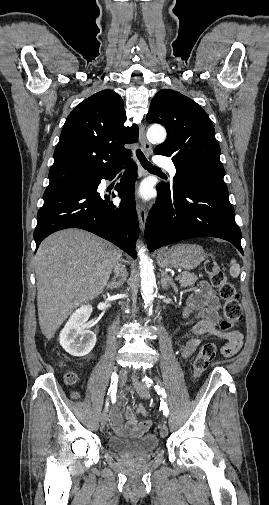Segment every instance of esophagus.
Returning a JSON list of instances; mask_svg holds the SVG:
<instances>
[{"label": "esophagus", "instance_id": "esophagus-1", "mask_svg": "<svg viewBox=\"0 0 269 505\" xmlns=\"http://www.w3.org/2000/svg\"><path fill=\"white\" fill-rule=\"evenodd\" d=\"M139 140H140L143 151L149 155L151 153L152 146L146 138L144 125H140V127H139ZM136 208H137V214H138V218H139L140 229H141L142 233H144L145 224H146L147 215H148L147 207L140 200H138Z\"/></svg>", "mask_w": 269, "mask_h": 505}]
</instances>
